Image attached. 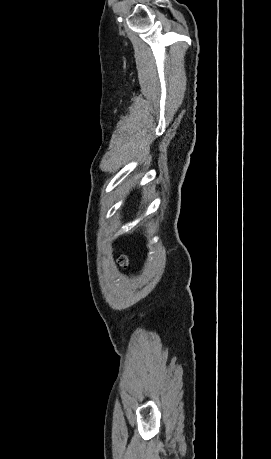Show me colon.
Masks as SVG:
<instances>
[{
	"mask_svg": "<svg viewBox=\"0 0 271 459\" xmlns=\"http://www.w3.org/2000/svg\"><path fill=\"white\" fill-rule=\"evenodd\" d=\"M118 263H119L121 266H126L127 263H128L127 257L124 256V255H120V256L118 257Z\"/></svg>",
	"mask_w": 271,
	"mask_h": 459,
	"instance_id": "5ec220e1",
	"label": "colon"
}]
</instances>
